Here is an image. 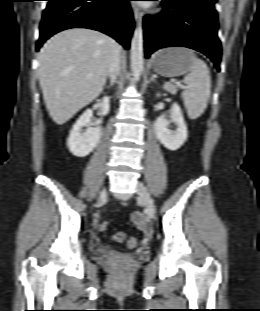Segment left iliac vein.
I'll list each match as a JSON object with an SVG mask.
<instances>
[{
  "label": "left iliac vein",
  "instance_id": "obj_1",
  "mask_svg": "<svg viewBox=\"0 0 260 311\" xmlns=\"http://www.w3.org/2000/svg\"><path fill=\"white\" fill-rule=\"evenodd\" d=\"M136 187H137V193H138L140 199L142 200V202L144 204L146 213L148 215H154L155 214V206H154V202L151 198V195H150L148 189L140 181L137 182Z\"/></svg>",
  "mask_w": 260,
  "mask_h": 311
}]
</instances>
